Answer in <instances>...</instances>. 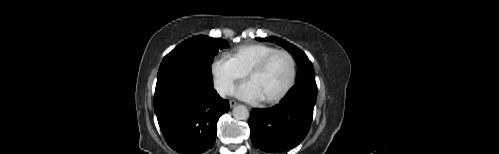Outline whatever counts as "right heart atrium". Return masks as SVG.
Instances as JSON below:
<instances>
[{
    "label": "right heart atrium",
    "mask_w": 499,
    "mask_h": 154,
    "mask_svg": "<svg viewBox=\"0 0 499 154\" xmlns=\"http://www.w3.org/2000/svg\"><path fill=\"white\" fill-rule=\"evenodd\" d=\"M210 75L215 90L224 96L230 92L235 82L245 78L246 73L228 56L221 55L211 61Z\"/></svg>",
    "instance_id": "1"
}]
</instances>
